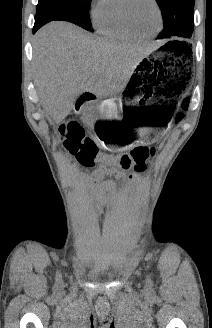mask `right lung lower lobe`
<instances>
[{"label":"right lung lower lobe","instance_id":"obj_1","mask_svg":"<svg viewBox=\"0 0 212 328\" xmlns=\"http://www.w3.org/2000/svg\"><path fill=\"white\" fill-rule=\"evenodd\" d=\"M44 24H46L45 21L35 20V24H34V27H33V33H35Z\"/></svg>","mask_w":212,"mask_h":328}]
</instances>
